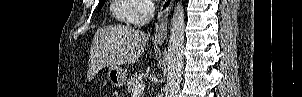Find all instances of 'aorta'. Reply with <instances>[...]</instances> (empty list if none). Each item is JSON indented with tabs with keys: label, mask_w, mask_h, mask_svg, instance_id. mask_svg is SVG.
<instances>
[{
	"label": "aorta",
	"mask_w": 302,
	"mask_h": 97,
	"mask_svg": "<svg viewBox=\"0 0 302 97\" xmlns=\"http://www.w3.org/2000/svg\"><path fill=\"white\" fill-rule=\"evenodd\" d=\"M185 19L181 3L174 8L167 57L165 97H176L180 88L183 69Z\"/></svg>",
	"instance_id": "1"
}]
</instances>
